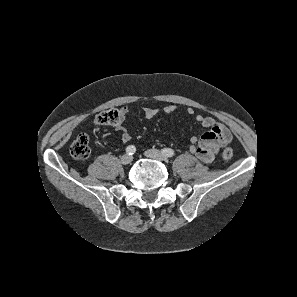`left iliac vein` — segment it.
Returning a JSON list of instances; mask_svg holds the SVG:
<instances>
[{
	"mask_svg": "<svg viewBox=\"0 0 297 297\" xmlns=\"http://www.w3.org/2000/svg\"><path fill=\"white\" fill-rule=\"evenodd\" d=\"M145 156L148 158H152L158 161H166L167 157L160 152L159 150L156 149H149L147 151H145Z\"/></svg>",
	"mask_w": 297,
	"mask_h": 297,
	"instance_id": "1",
	"label": "left iliac vein"
}]
</instances>
